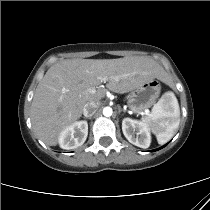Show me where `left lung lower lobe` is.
Wrapping results in <instances>:
<instances>
[{
	"mask_svg": "<svg viewBox=\"0 0 210 210\" xmlns=\"http://www.w3.org/2000/svg\"><path fill=\"white\" fill-rule=\"evenodd\" d=\"M166 145H167V144H166ZM166 145L162 146L161 148L165 147ZM161 148H159V149H161ZM159 149H156V150H159ZM156 150H153V151H156Z\"/></svg>",
	"mask_w": 210,
	"mask_h": 210,
	"instance_id": "obj_1",
	"label": "left lung lower lobe"
}]
</instances>
